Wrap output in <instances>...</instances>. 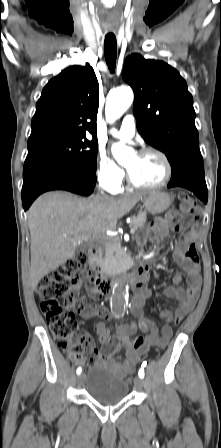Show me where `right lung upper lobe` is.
<instances>
[{
	"label": "right lung upper lobe",
	"mask_w": 221,
	"mask_h": 448,
	"mask_svg": "<svg viewBox=\"0 0 221 448\" xmlns=\"http://www.w3.org/2000/svg\"><path fill=\"white\" fill-rule=\"evenodd\" d=\"M99 84L90 65L71 66L52 78L36 104L28 148L96 134ZM91 120V121H90Z\"/></svg>",
	"instance_id": "obj_1"
}]
</instances>
